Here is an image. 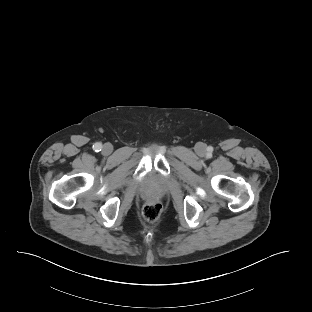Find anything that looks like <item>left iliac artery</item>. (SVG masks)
Wrapping results in <instances>:
<instances>
[{"mask_svg":"<svg viewBox=\"0 0 312 312\" xmlns=\"http://www.w3.org/2000/svg\"><path fill=\"white\" fill-rule=\"evenodd\" d=\"M212 151V148L211 147H208V152H211Z\"/></svg>","mask_w":312,"mask_h":312,"instance_id":"obj_1","label":"left iliac artery"}]
</instances>
